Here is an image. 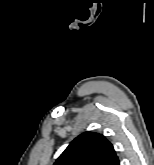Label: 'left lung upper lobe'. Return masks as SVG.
<instances>
[{"instance_id": "left-lung-upper-lobe-1", "label": "left lung upper lobe", "mask_w": 154, "mask_h": 165, "mask_svg": "<svg viewBox=\"0 0 154 165\" xmlns=\"http://www.w3.org/2000/svg\"><path fill=\"white\" fill-rule=\"evenodd\" d=\"M54 165H119V160L103 135L85 132L69 144Z\"/></svg>"}]
</instances>
